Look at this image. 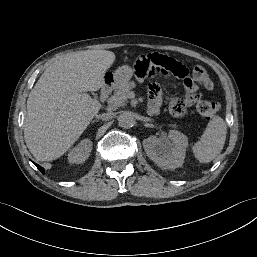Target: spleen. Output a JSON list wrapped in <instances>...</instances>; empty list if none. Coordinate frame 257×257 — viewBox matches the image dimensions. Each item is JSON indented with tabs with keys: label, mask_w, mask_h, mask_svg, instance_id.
Returning a JSON list of instances; mask_svg holds the SVG:
<instances>
[{
	"label": "spleen",
	"mask_w": 257,
	"mask_h": 257,
	"mask_svg": "<svg viewBox=\"0 0 257 257\" xmlns=\"http://www.w3.org/2000/svg\"><path fill=\"white\" fill-rule=\"evenodd\" d=\"M227 127L225 121L214 116L202 134L199 141L193 146V153L201 163L211 162L221 152L226 140Z\"/></svg>",
	"instance_id": "1"
}]
</instances>
